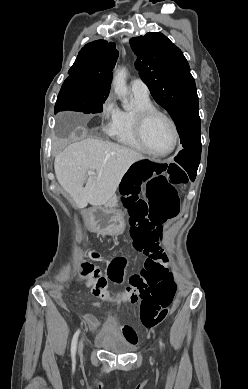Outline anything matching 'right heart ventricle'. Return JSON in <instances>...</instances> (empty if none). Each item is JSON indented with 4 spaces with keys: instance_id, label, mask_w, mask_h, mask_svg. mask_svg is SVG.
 <instances>
[{
    "instance_id": "e07e8e85",
    "label": "right heart ventricle",
    "mask_w": 248,
    "mask_h": 389,
    "mask_svg": "<svg viewBox=\"0 0 248 389\" xmlns=\"http://www.w3.org/2000/svg\"><path fill=\"white\" fill-rule=\"evenodd\" d=\"M132 110H118L110 135L119 143L138 151H144L135 134V114L138 110L153 107L149 98L134 95Z\"/></svg>"
}]
</instances>
